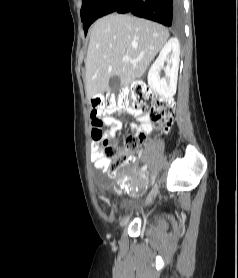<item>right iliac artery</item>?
I'll list each match as a JSON object with an SVG mask.
<instances>
[{
	"label": "right iliac artery",
	"instance_id": "obj_1",
	"mask_svg": "<svg viewBox=\"0 0 238 278\" xmlns=\"http://www.w3.org/2000/svg\"><path fill=\"white\" fill-rule=\"evenodd\" d=\"M147 169V165H144L142 168H141V172L145 171Z\"/></svg>",
	"mask_w": 238,
	"mask_h": 278
}]
</instances>
